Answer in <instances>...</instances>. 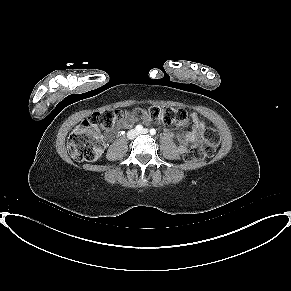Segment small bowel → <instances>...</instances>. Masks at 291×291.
<instances>
[{
	"label": "small bowel",
	"mask_w": 291,
	"mask_h": 291,
	"mask_svg": "<svg viewBox=\"0 0 291 291\" xmlns=\"http://www.w3.org/2000/svg\"><path fill=\"white\" fill-rule=\"evenodd\" d=\"M191 121L193 123L192 130L181 134L179 136V148L180 150H185L189 144H197L202 141L205 133V124L200 120L197 113L192 112L190 114ZM134 118L131 114H125L118 123V128H126L133 124ZM108 138L112 137V133L109 132Z\"/></svg>",
	"instance_id": "1"
}]
</instances>
